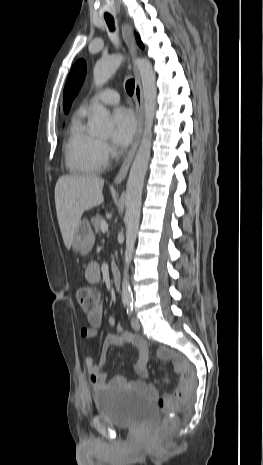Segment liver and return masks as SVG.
Here are the masks:
<instances>
[{
  "label": "liver",
  "mask_w": 263,
  "mask_h": 465,
  "mask_svg": "<svg viewBox=\"0 0 263 465\" xmlns=\"http://www.w3.org/2000/svg\"><path fill=\"white\" fill-rule=\"evenodd\" d=\"M104 180L96 175H64L55 185V205L64 244L69 250L85 211L103 203Z\"/></svg>",
  "instance_id": "1"
}]
</instances>
